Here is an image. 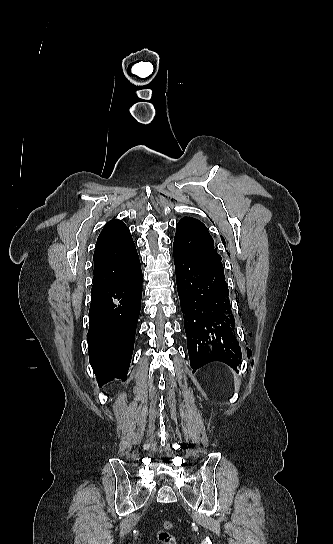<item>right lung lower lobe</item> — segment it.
<instances>
[{"mask_svg": "<svg viewBox=\"0 0 333 544\" xmlns=\"http://www.w3.org/2000/svg\"><path fill=\"white\" fill-rule=\"evenodd\" d=\"M140 261L122 278L91 293L87 342L89 361L100 386L125 379L141 308Z\"/></svg>", "mask_w": 333, "mask_h": 544, "instance_id": "obj_1", "label": "right lung lower lobe"}]
</instances>
